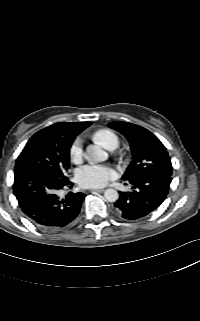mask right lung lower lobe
Masks as SVG:
<instances>
[{
  "instance_id": "98d812e1",
  "label": "right lung lower lobe",
  "mask_w": 200,
  "mask_h": 321,
  "mask_svg": "<svg viewBox=\"0 0 200 321\" xmlns=\"http://www.w3.org/2000/svg\"><path fill=\"white\" fill-rule=\"evenodd\" d=\"M73 183L48 171L26 169L14 175L13 191L19 206L38 228L53 232L68 227L80 212L81 192L64 194Z\"/></svg>"
}]
</instances>
